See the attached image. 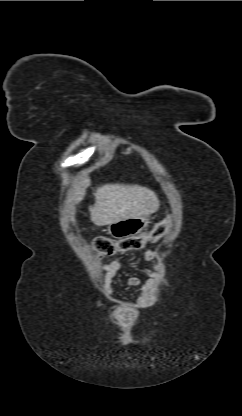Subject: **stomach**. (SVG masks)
I'll return each mask as SVG.
<instances>
[{
    "label": "stomach",
    "instance_id": "1",
    "mask_svg": "<svg viewBox=\"0 0 242 416\" xmlns=\"http://www.w3.org/2000/svg\"><path fill=\"white\" fill-rule=\"evenodd\" d=\"M150 223L146 216L123 219L108 225V233L116 239H124L141 233Z\"/></svg>",
    "mask_w": 242,
    "mask_h": 416
}]
</instances>
